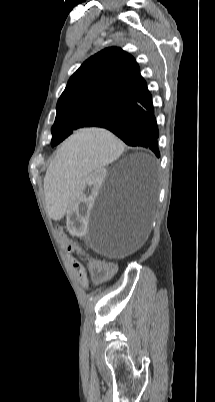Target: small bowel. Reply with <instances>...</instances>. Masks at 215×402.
<instances>
[{
	"mask_svg": "<svg viewBox=\"0 0 215 402\" xmlns=\"http://www.w3.org/2000/svg\"><path fill=\"white\" fill-rule=\"evenodd\" d=\"M80 279L83 284H87V278L84 270H80Z\"/></svg>",
	"mask_w": 215,
	"mask_h": 402,
	"instance_id": "1",
	"label": "small bowel"
}]
</instances>
